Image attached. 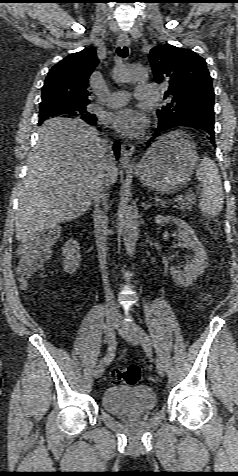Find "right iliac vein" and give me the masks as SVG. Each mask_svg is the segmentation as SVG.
Returning <instances> with one entry per match:
<instances>
[{
	"label": "right iliac vein",
	"mask_w": 238,
	"mask_h": 476,
	"mask_svg": "<svg viewBox=\"0 0 238 476\" xmlns=\"http://www.w3.org/2000/svg\"><path fill=\"white\" fill-rule=\"evenodd\" d=\"M117 317H118V313L116 310L114 309H110L108 310L107 312V320H106V325H105V330L106 328H111V330L114 331V326L116 324V321H117ZM106 332V331H105ZM107 335V334H106ZM104 372V365L102 364H99L98 366H96V368L94 369V377L95 378H100L102 376Z\"/></svg>",
	"instance_id": "1"
}]
</instances>
